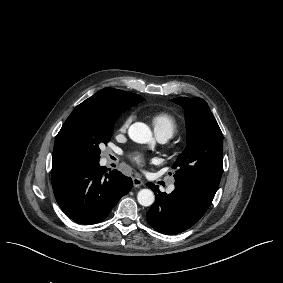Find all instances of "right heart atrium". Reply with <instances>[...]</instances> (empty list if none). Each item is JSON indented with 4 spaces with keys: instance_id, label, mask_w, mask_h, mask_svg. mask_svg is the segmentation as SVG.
<instances>
[{
    "instance_id": "right-heart-atrium-1",
    "label": "right heart atrium",
    "mask_w": 283,
    "mask_h": 283,
    "mask_svg": "<svg viewBox=\"0 0 283 283\" xmlns=\"http://www.w3.org/2000/svg\"><path fill=\"white\" fill-rule=\"evenodd\" d=\"M132 120V116H127L121 123L120 125L117 126L116 128V134H119L121 132H125Z\"/></svg>"
}]
</instances>
